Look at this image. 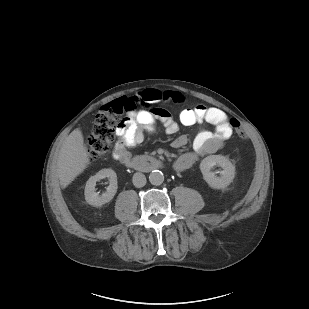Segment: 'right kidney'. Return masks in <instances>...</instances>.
I'll return each mask as SVG.
<instances>
[{"label":"right kidney","instance_id":"ca27d5eb","mask_svg":"<svg viewBox=\"0 0 309 309\" xmlns=\"http://www.w3.org/2000/svg\"><path fill=\"white\" fill-rule=\"evenodd\" d=\"M106 177L109 179V186L107 187V191L105 193L99 195L95 192L96 182ZM117 188L118 185L116 173L112 169H102L96 175L91 176L86 182L84 192L85 200L92 206L101 207L113 199L117 192Z\"/></svg>","mask_w":309,"mask_h":309}]
</instances>
